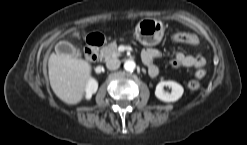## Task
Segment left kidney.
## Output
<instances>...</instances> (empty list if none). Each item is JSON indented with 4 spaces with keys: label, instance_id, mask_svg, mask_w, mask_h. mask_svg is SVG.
<instances>
[{
    "label": "left kidney",
    "instance_id": "1",
    "mask_svg": "<svg viewBox=\"0 0 247 145\" xmlns=\"http://www.w3.org/2000/svg\"><path fill=\"white\" fill-rule=\"evenodd\" d=\"M164 86L171 88V93H166L163 90ZM183 87L175 81H161L157 84L155 96L164 102H175L183 95Z\"/></svg>",
    "mask_w": 247,
    "mask_h": 145
}]
</instances>
